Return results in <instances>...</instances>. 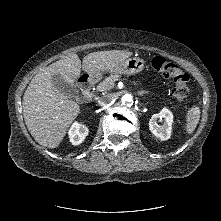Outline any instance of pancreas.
Returning a JSON list of instances; mask_svg holds the SVG:
<instances>
[{
    "mask_svg": "<svg viewBox=\"0 0 221 221\" xmlns=\"http://www.w3.org/2000/svg\"><path fill=\"white\" fill-rule=\"evenodd\" d=\"M118 79L119 75H111L107 77L104 81L99 83V85L97 86V91L106 92L111 90L115 85V81H117Z\"/></svg>",
    "mask_w": 221,
    "mask_h": 221,
    "instance_id": "1",
    "label": "pancreas"
}]
</instances>
